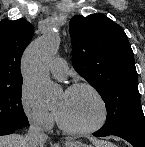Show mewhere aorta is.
I'll use <instances>...</instances> for the list:
<instances>
[{
    "instance_id": "obj_1",
    "label": "aorta",
    "mask_w": 145,
    "mask_h": 147,
    "mask_svg": "<svg viewBox=\"0 0 145 147\" xmlns=\"http://www.w3.org/2000/svg\"><path fill=\"white\" fill-rule=\"evenodd\" d=\"M59 45V35L51 30L41 38L32 42L24 52L22 73L24 79L36 93L38 101L52 99L56 86L49 76V65Z\"/></svg>"
}]
</instances>
